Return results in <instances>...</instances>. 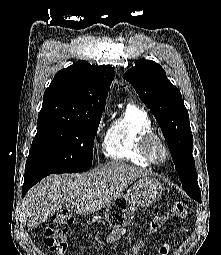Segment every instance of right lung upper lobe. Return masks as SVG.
Here are the masks:
<instances>
[{"label":"right lung upper lobe","mask_w":221,"mask_h":255,"mask_svg":"<svg viewBox=\"0 0 221 255\" xmlns=\"http://www.w3.org/2000/svg\"><path fill=\"white\" fill-rule=\"evenodd\" d=\"M114 69L79 60L56 73L44 93L39 116L86 118L103 111Z\"/></svg>","instance_id":"1"}]
</instances>
